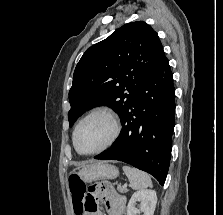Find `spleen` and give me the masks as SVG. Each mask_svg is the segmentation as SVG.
Masks as SVG:
<instances>
[{
	"label": "spleen",
	"instance_id": "1",
	"mask_svg": "<svg viewBox=\"0 0 223 215\" xmlns=\"http://www.w3.org/2000/svg\"><path fill=\"white\" fill-rule=\"evenodd\" d=\"M123 171L126 173L132 189L152 187V181L145 171H140V169H135V167H129V165H123Z\"/></svg>",
	"mask_w": 223,
	"mask_h": 215
}]
</instances>
